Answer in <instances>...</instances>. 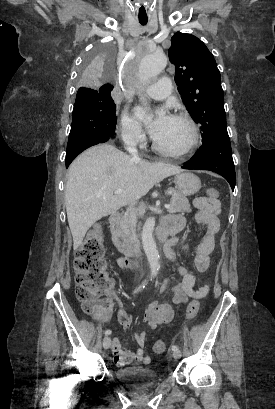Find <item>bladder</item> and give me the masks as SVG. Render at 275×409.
Listing matches in <instances>:
<instances>
[{
    "label": "bladder",
    "mask_w": 275,
    "mask_h": 409,
    "mask_svg": "<svg viewBox=\"0 0 275 409\" xmlns=\"http://www.w3.org/2000/svg\"><path fill=\"white\" fill-rule=\"evenodd\" d=\"M117 381L125 382L130 389L153 386L162 379L152 367L138 365L124 366L116 369Z\"/></svg>",
    "instance_id": "31cf9c89"
}]
</instances>
